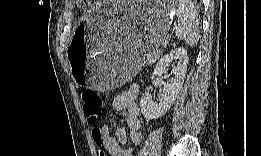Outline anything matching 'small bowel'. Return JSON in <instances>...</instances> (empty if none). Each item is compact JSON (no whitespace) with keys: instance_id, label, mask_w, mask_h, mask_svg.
I'll list each match as a JSON object with an SVG mask.
<instances>
[{"instance_id":"1","label":"small bowel","mask_w":261,"mask_h":156,"mask_svg":"<svg viewBox=\"0 0 261 156\" xmlns=\"http://www.w3.org/2000/svg\"><path fill=\"white\" fill-rule=\"evenodd\" d=\"M139 94V87L132 85L127 91L116 96L111 103L113 112H122L126 128H119L116 131V137L110 133V127L105 124L100 127L101 145L110 156H133L134 151L131 147H125L128 142L133 145H139L142 141V133L140 131L139 106L136 98Z\"/></svg>"}]
</instances>
